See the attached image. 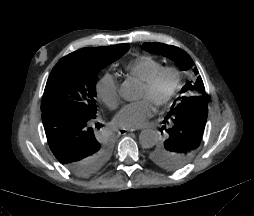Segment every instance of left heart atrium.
<instances>
[{
	"instance_id": "39dd6f15",
	"label": "left heart atrium",
	"mask_w": 254,
	"mask_h": 216,
	"mask_svg": "<svg viewBox=\"0 0 254 216\" xmlns=\"http://www.w3.org/2000/svg\"><path fill=\"white\" fill-rule=\"evenodd\" d=\"M153 113L152 102L142 99L125 106L117 117V124L124 128H135L142 125Z\"/></svg>"
}]
</instances>
